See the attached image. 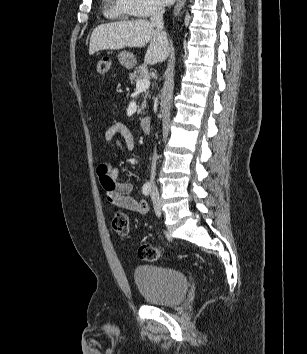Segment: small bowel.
Instances as JSON below:
<instances>
[{"instance_id":"small-bowel-1","label":"small bowel","mask_w":307,"mask_h":354,"mask_svg":"<svg viewBox=\"0 0 307 354\" xmlns=\"http://www.w3.org/2000/svg\"><path fill=\"white\" fill-rule=\"evenodd\" d=\"M104 138L106 141H116L119 150L123 152L132 150L135 146L134 134L124 123H115L110 126L105 132ZM96 172L106 199L110 203L140 214L148 211V204L145 200L135 199L132 196V184L118 181L121 174L119 168L102 163L98 165Z\"/></svg>"}]
</instances>
